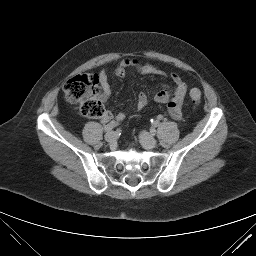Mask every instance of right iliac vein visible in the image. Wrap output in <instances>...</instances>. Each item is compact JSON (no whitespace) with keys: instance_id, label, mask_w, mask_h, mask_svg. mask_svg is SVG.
<instances>
[{"instance_id":"right-iliac-vein-1","label":"right iliac vein","mask_w":256,"mask_h":256,"mask_svg":"<svg viewBox=\"0 0 256 256\" xmlns=\"http://www.w3.org/2000/svg\"><path fill=\"white\" fill-rule=\"evenodd\" d=\"M105 140L109 144L114 143L115 140H116V134L113 131L107 132L106 135H105Z\"/></svg>"}]
</instances>
